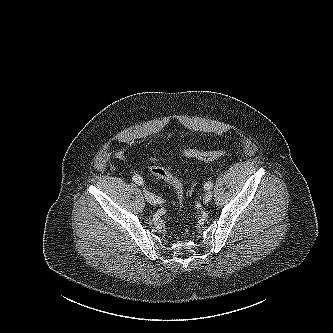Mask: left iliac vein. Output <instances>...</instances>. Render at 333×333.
I'll use <instances>...</instances> for the list:
<instances>
[{
  "mask_svg": "<svg viewBox=\"0 0 333 333\" xmlns=\"http://www.w3.org/2000/svg\"><path fill=\"white\" fill-rule=\"evenodd\" d=\"M212 199V192L211 191H207L205 194H204V197H203V202L204 203H209Z\"/></svg>",
  "mask_w": 333,
  "mask_h": 333,
  "instance_id": "left-iliac-vein-1",
  "label": "left iliac vein"
}]
</instances>
